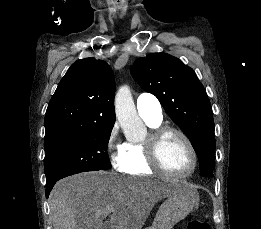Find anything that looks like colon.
I'll return each mask as SVG.
<instances>
[{"label": "colon", "instance_id": "colon-1", "mask_svg": "<svg viewBox=\"0 0 261 229\" xmlns=\"http://www.w3.org/2000/svg\"><path fill=\"white\" fill-rule=\"evenodd\" d=\"M210 225L201 219H192L188 222L186 229H210Z\"/></svg>", "mask_w": 261, "mask_h": 229}]
</instances>
